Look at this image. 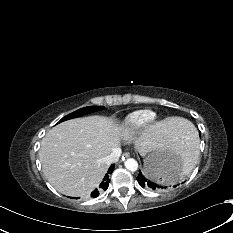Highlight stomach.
I'll return each instance as SVG.
<instances>
[{
  "label": "stomach",
  "mask_w": 233,
  "mask_h": 233,
  "mask_svg": "<svg viewBox=\"0 0 233 233\" xmlns=\"http://www.w3.org/2000/svg\"><path fill=\"white\" fill-rule=\"evenodd\" d=\"M143 174L145 179L154 185L166 186L183 174L185 162L173 148L156 147L145 155Z\"/></svg>",
  "instance_id": "0dacf381"
}]
</instances>
